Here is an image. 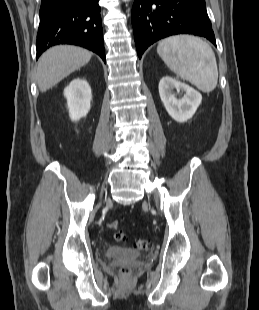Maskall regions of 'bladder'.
Listing matches in <instances>:
<instances>
[{
  "label": "bladder",
  "instance_id": "31cf9c89",
  "mask_svg": "<svg viewBox=\"0 0 259 310\" xmlns=\"http://www.w3.org/2000/svg\"><path fill=\"white\" fill-rule=\"evenodd\" d=\"M105 255L110 259H124L135 260L138 259L141 254L137 251L122 248L119 246H108L105 250Z\"/></svg>",
  "mask_w": 259,
  "mask_h": 310
}]
</instances>
